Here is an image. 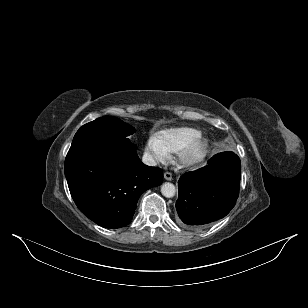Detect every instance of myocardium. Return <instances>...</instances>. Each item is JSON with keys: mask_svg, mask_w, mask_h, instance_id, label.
I'll list each match as a JSON object with an SVG mask.
<instances>
[{"mask_svg": "<svg viewBox=\"0 0 308 308\" xmlns=\"http://www.w3.org/2000/svg\"><path fill=\"white\" fill-rule=\"evenodd\" d=\"M208 149V139L199 135L178 152V162L182 166L195 165L204 159Z\"/></svg>", "mask_w": 308, "mask_h": 308, "instance_id": "1", "label": "myocardium"}]
</instances>
